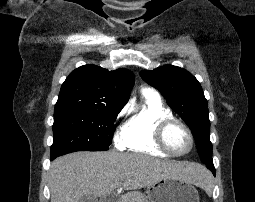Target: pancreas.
Returning a JSON list of instances; mask_svg holds the SVG:
<instances>
[{
    "instance_id": "1",
    "label": "pancreas",
    "mask_w": 255,
    "mask_h": 202,
    "mask_svg": "<svg viewBox=\"0 0 255 202\" xmlns=\"http://www.w3.org/2000/svg\"><path fill=\"white\" fill-rule=\"evenodd\" d=\"M120 202H149L148 197L140 191H131L121 196Z\"/></svg>"
}]
</instances>
